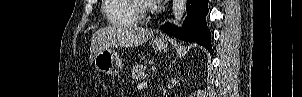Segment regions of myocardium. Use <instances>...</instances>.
Listing matches in <instances>:
<instances>
[{
  "instance_id": "myocardium-1",
  "label": "myocardium",
  "mask_w": 302,
  "mask_h": 97,
  "mask_svg": "<svg viewBox=\"0 0 302 97\" xmlns=\"http://www.w3.org/2000/svg\"><path fill=\"white\" fill-rule=\"evenodd\" d=\"M133 9L138 16L143 18L154 10V6L144 0H133Z\"/></svg>"
}]
</instances>
